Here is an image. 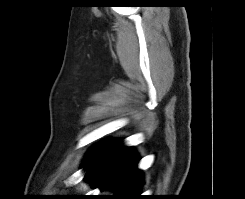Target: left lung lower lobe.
Returning a JSON list of instances; mask_svg holds the SVG:
<instances>
[{
    "label": "left lung lower lobe",
    "instance_id": "1",
    "mask_svg": "<svg viewBox=\"0 0 245 199\" xmlns=\"http://www.w3.org/2000/svg\"><path fill=\"white\" fill-rule=\"evenodd\" d=\"M138 161L130 147L118 142L103 143L88 153L84 163L88 168L85 178L93 187L111 188L124 198H138L135 195L141 184V173L136 167Z\"/></svg>",
    "mask_w": 245,
    "mask_h": 199
}]
</instances>
